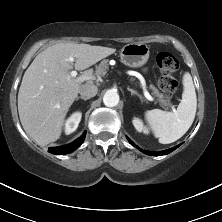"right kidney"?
Wrapping results in <instances>:
<instances>
[{"label": "right kidney", "instance_id": "obj_1", "mask_svg": "<svg viewBox=\"0 0 222 222\" xmlns=\"http://www.w3.org/2000/svg\"><path fill=\"white\" fill-rule=\"evenodd\" d=\"M82 114L81 112H75L73 113L66 121L65 123V133L70 134L74 132L81 120Z\"/></svg>", "mask_w": 222, "mask_h": 222}]
</instances>
